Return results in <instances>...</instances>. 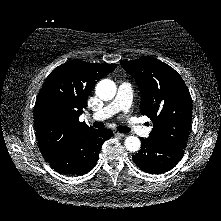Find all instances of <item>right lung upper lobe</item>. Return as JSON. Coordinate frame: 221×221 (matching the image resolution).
<instances>
[{
  "mask_svg": "<svg viewBox=\"0 0 221 221\" xmlns=\"http://www.w3.org/2000/svg\"><path fill=\"white\" fill-rule=\"evenodd\" d=\"M116 66L72 60L55 68L47 77L34 107L37 140L47 162L93 129L80 122L79 116L87 106L92 87Z\"/></svg>",
  "mask_w": 221,
  "mask_h": 221,
  "instance_id": "obj_1",
  "label": "right lung upper lobe"
}]
</instances>
